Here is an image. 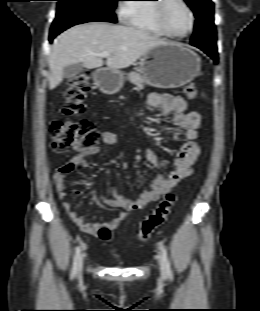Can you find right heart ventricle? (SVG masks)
Here are the masks:
<instances>
[{
    "label": "right heart ventricle",
    "mask_w": 260,
    "mask_h": 311,
    "mask_svg": "<svg viewBox=\"0 0 260 311\" xmlns=\"http://www.w3.org/2000/svg\"><path fill=\"white\" fill-rule=\"evenodd\" d=\"M134 2H147L152 0H133ZM126 23L136 29L156 36H166L158 26L154 15V4L130 3L123 11Z\"/></svg>",
    "instance_id": "1"
}]
</instances>
